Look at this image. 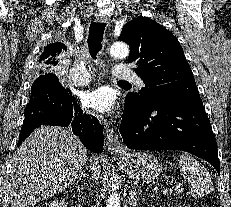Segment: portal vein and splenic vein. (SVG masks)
<instances>
[{"mask_svg":"<svg viewBox=\"0 0 231 207\" xmlns=\"http://www.w3.org/2000/svg\"><path fill=\"white\" fill-rule=\"evenodd\" d=\"M170 192H172V190L171 189H165V190H163V194H168V193H170Z\"/></svg>","mask_w":231,"mask_h":207,"instance_id":"18ae733b","label":"portal vein and splenic vein"}]
</instances>
